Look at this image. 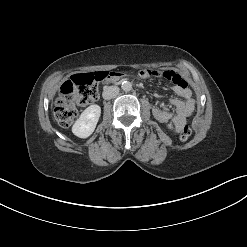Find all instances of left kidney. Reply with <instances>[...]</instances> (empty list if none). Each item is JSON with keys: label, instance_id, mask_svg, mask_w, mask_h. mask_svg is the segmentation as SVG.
I'll return each mask as SVG.
<instances>
[{"label": "left kidney", "instance_id": "1", "mask_svg": "<svg viewBox=\"0 0 247 247\" xmlns=\"http://www.w3.org/2000/svg\"><path fill=\"white\" fill-rule=\"evenodd\" d=\"M168 128H169V129H172V125H171V124H168Z\"/></svg>", "mask_w": 247, "mask_h": 247}]
</instances>
